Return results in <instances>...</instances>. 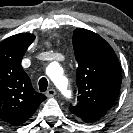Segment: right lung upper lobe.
<instances>
[{"instance_id": "right-lung-upper-lobe-1", "label": "right lung upper lobe", "mask_w": 133, "mask_h": 133, "mask_svg": "<svg viewBox=\"0 0 133 133\" xmlns=\"http://www.w3.org/2000/svg\"><path fill=\"white\" fill-rule=\"evenodd\" d=\"M35 36L20 33L0 42V119L11 125L27 121L46 99L36 92L21 60Z\"/></svg>"}]
</instances>
